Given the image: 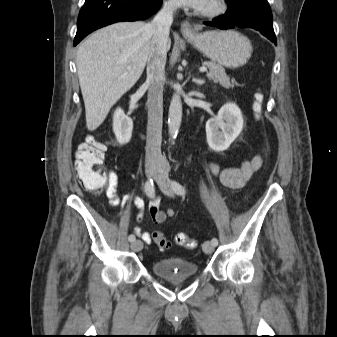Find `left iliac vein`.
Instances as JSON below:
<instances>
[{
  "label": "left iliac vein",
  "mask_w": 337,
  "mask_h": 337,
  "mask_svg": "<svg viewBox=\"0 0 337 337\" xmlns=\"http://www.w3.org/2000/svg\"><path fill=\"white\" fill-rule=\"evenodd\" d=\"M156 182L159 186V188L161 189V191L169 196V197H173V191L171 188V182L168 178V174H167V169L164 166L163 168L160 169L159 173L157 174V176L155 177ZM214 245L210 242V241H205L203 244V251L206 254H210L214 251Z\"/></svg>",
  "instance_id": "obj_1"
}]
</instances>
